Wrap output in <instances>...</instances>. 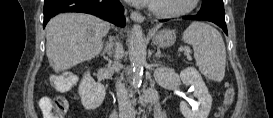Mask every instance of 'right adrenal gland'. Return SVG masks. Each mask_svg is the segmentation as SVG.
I'll return each instance as SVG.
<instances>
[{
	"label": "right adrenal gland",
	"mask_w": 273,
	"mask_h": 118,
	"mask_svg": "<svg viewBox=\"0 0 273 118\" xmlns=\"http://www.w3.org/2000/svg\"><path fill=\"white\" fill-rule=\"evenodd\" d=\"M114 45H115V39L113 36H109V41L106 42L104 50L102 52V56L108 60V58H111L113 56L114 51ZM107 54V57L105 56Z\"/></svg>",
	"instance_id": "1"
}]
</instances>
